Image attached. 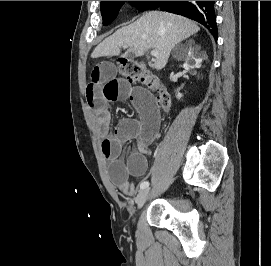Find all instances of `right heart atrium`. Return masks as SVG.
I'll return each instance as SVG.
<instances>
[{
  "instance_id": "1",
  "label": "right heart atrium",
  "mask_w": 271,
  "mask_h": 266,
  "mask_svg": "<svg viewBox=\"0 0 271 266\" xmlns=\"http://www.w3.org/2000/svg\"><path fill=\"white\" fill-rule=\"evenodd\" d=\"M134 3H135V4H139V3H140V1H134Z\"/></svg>"
}]
</instances>
